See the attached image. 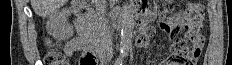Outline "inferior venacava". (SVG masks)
Here are the masks:
<instances>
[{
    "label": "inferior vena cava",
    "mask_w": 232,
    "mask_h": 65,
    "mask_svg": "<svg viewBox=\"0 0 232 65\" xmlns=\"http://www.w3.org/2000/svg\"><path fill=\"white\" fill-rule=\"evenodd\" d=\"M95 4L97 16H98V27L101 36V43L104 54L107 58H111L113 55V44L111 41L110 33L108 30V21L106 20V0H93Z\"/></svg>",
    "instance_id": "1"
}]
</instances>
